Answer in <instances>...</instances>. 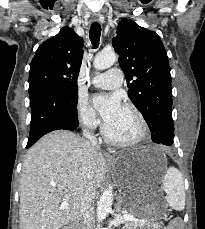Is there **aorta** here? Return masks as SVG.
Segmentation results:
<instances>
[{
    "label": "aorta",
    "instance_id": "aorta-1",
    "mask_svg": "<svg viewBox=\"0 0 205 229\" xmlns=\"http://www.w3.org/2000/svg\"><path fill=\"white\" fill-rule=\"evenodd\" d=\"M117 60L116 53L114 51H102L98 53L93 61V66L97 70H104L111 67ZM113 203V192L111 189H107L101 195L98 201L97 207V219L98 222L104 220L111 210Z\"/></svg>",
    "mask_w": 205,
    "mask_h": 229
}]
</instances>
